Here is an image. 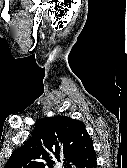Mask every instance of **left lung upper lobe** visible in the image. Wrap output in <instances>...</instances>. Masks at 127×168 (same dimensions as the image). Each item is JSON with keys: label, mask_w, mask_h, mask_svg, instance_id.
<instances>
[{"label": "left lung upper lobe", "mask_w": 127, "mask_h": 168, "mask_svg": "<svg viewBox=\"0 0 127 168\" xmlns=\"http://www.w3.org/2000/svg\"><path fill=\"white\" fill-rule=\"evenodd\" d=\"M89 137L83 122L66 116L45 117L36 122L32 136L10 156L4 168H47L60 151L65 162L75 164L82 143ZM65 168H71L66 163Z\"/></svg>", "instance_id": "obj_1"}]
</instances>
